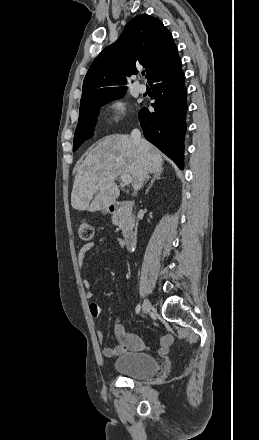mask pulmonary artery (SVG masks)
<instances>
[{
    "label": "pulmonary artery",
    "instance_id": "e3ab8cb5",
    "mask_svg": "<svg viewBox=\"0 0 259 440\" xmlns=\"http://www.w3.org/2000/svg\"><path fill=\"white\" fill-rule=\"evenodd\" d=\"M137 90H138L140 93H144V92H146V86H145L144 84H138V85H137Z\"/></svg>",
    "mask_w": 259,
    "mask_h": 440
}]
</instances>
